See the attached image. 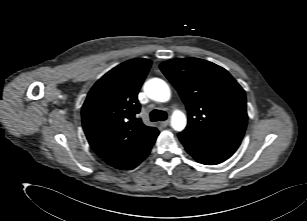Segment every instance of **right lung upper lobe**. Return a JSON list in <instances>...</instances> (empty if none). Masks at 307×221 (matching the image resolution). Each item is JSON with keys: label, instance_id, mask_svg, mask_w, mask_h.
Returning <instances> with one entry per match:
<instances>
[{"label": "right lung upper lobe", "instance_id": "right-lung-upper-lobe-1", "mask_svg": "<svg viewBox=\"0 0 307 221\" xmlns=\"http://www.w3.org/2000/svg\"><path fill=\"white\" fill-rule=\"evenodd\" d=\"M149 59L128 60L101 77L82 106V124L94 152L115 167L142 149L159 132L137 117L138 91Z\"/></svg>", "mask_w": 307, "mask_h": 221}]
</instances>
